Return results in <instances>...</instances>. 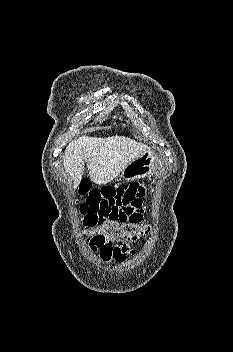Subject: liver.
<instances>
[{
    "mask_svg": "<svg viewBox=\"0 0 233 352\" xmlns=\"http://www.w3.org/2000/svg\"><path fill=\"white\" fill-rule=\"evenodd\" d=\"M148 149L147 145L124 136L96 138L82 136L68 144L63 165L76 189L86 162L91 180L104 185L115 179L135 158Z\"/></svg>",
    "mask_w": 233,
    "mask_h": 352,
    "instance_id": "1",
    "label": "liver"
}]
</instances>
